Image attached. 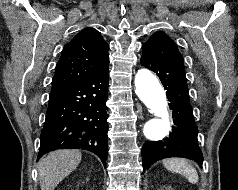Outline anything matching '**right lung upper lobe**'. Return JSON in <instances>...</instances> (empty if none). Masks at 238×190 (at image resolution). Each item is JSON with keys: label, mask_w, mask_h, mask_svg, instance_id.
Segmentation results:
<instances>
[{"label": "right lung upper lobe", "mask_w": 238, "mask_h": 190, "mask_svg": "<svg viewBox=\"0 0 238 190\" xmlns=\"http://www.w3.org/2000/svg\"><path fill=\"white\" fill-rule=\"evenodd\" d=\"M108 49V44L97 30H81L61 52L51 93L74 84L108 64Z\"/></svg>", "instance_id": "obj_1"}]
</instances>
